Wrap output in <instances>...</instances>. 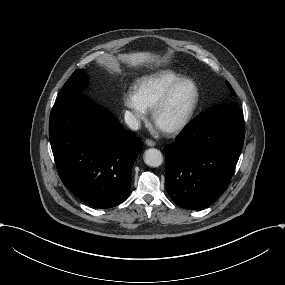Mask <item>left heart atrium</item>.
I'll return each mask as SVG.
<instances>
[{
    "instance_id": "obj_1",
    "label": "left heart atrium",
    "mask_w": 285,
    "mask_h": 285,
    "mask_svg": "<svg viewBox=\"0 0 285 285\" xmlns=\"http://www.w3.org/2000/svg\"><path fill=\"white\" fill-rule=\"evenodd\" d=\"M156 127H157V129H159V130H163V128L160 126V125H156Z\"/></svg>"
}]
</instances>
